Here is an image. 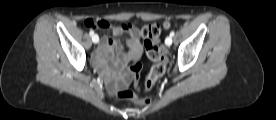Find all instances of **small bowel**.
<instances>
[{
    "mask_svg": "<svg viewBox=\"0 0 276 120\" xmlns=\"http://www.w3.org/2000/svg\"><path fill=\"white\" fill-rule=\"evenodd\" d=\"M98 30H111L114 36L127 34V47L129 53L125 54L119 42L113 38L103 36L101 44L93 57V63L101 77L106 83L107 90L111 94H115L118 90L125 87L130 76L123 70V67L130 58H136L141 53V43L139 39L138 29L131 24H122L113 26L105 20L96 21ZM114 70H117L116 72Z\"/></svg>",
    "mask_w": 276,
    "mask_h": 120,
    "instance_id": "c3829d8e",
    "label": "small bowel"
}]
</instances>
